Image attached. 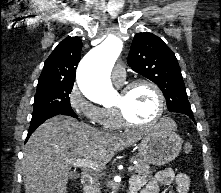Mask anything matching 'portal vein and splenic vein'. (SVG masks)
<instances>
[{
  "mask_svg": "<svg viewBox=\"0 0 221 193\" xmlns=\"http://www.w3.org/2000/svg\"><path fill=\"white\" fill-rule=\"evenodd\" d=\"M67 163L71 164L74 167L90 168L97 171L101 170L102 168L100 164L88 159L67 160ZM133 170V166H130L128 168V172H132Z\"/></svg>",
  "mask_w": 221,
  "mask_h": 193,
  "instance_id": "18ae733b",
  "label": "portal vein and splenic vein"
}]
</instances>
